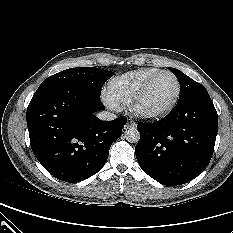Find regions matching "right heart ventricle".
Returning a JSON list of instances; mask_svg holds the SVG:
<instances>
[{"mask_svg":"<svg viewBox=\"0 0 233 233\" xmlns=\"http://www.w3.org/2000/svg\"><path fill=\"white\" fill-rule=\"evenodd\" d=\"M159 71L156 67H146L116 76L110 80L107 92L118 104L129 103L141 86Z\"/></svg>","mask_w":233,"mask_h":233,"instance_id":"1","label":"right heart ventricle"}]
</instances>
